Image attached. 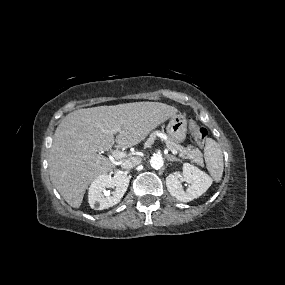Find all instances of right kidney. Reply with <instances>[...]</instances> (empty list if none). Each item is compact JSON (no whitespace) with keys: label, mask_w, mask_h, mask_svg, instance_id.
I'll use <instances>...</instances> for the list:
<instances>
[{"label":"right kidney","mask_w":285,"mask_h":285,"mask_svg":"<svg viewBox=\"0 0 285 285\" xmlns=\"http://www.w3.org/2000/svg\"><path fill=\"white\" fill-rule=\"evenodd\" d=\"M129 185V178L123 174H115L113 177L102 174L90 185L88 200L90 207L95 210H103L120 202ZM106 188H115L110 194Z\"/></svg>","instance_id":"right-kidney-1"}]
</instances>
